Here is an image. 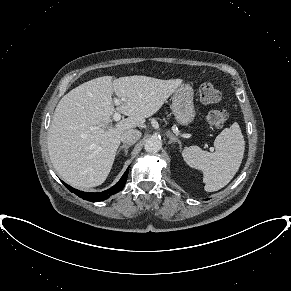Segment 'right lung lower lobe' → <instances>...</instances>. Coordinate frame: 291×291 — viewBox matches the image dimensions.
I'll use <instances>...</instances> for the list:
<instances>
[{
  "instance_id": "98d812e1",
  "label": "right lung lower lobe",
  "mask_w": 291,
  "mask_h": 291,
  "mask_svg": "<svg viewBox=\"0 0 291 291\" xmlns=\"http://www.w3.org/2000/svg\"><path fill=\"white\" fill-rule=\"evenodd\" d=\"M128 171L129 169L125 171L121 179L113 187L102 192H96V193L83 192V191H79L77 189L72 188L71 186L67 185L64 182L63 183L69 189V191L75 193L76 195L83 198L84 200H88L92 202H99V201H103L109 198L111 195L121 191L124 188L127 177H128Z\"/></svg>"
}]
</instances>
